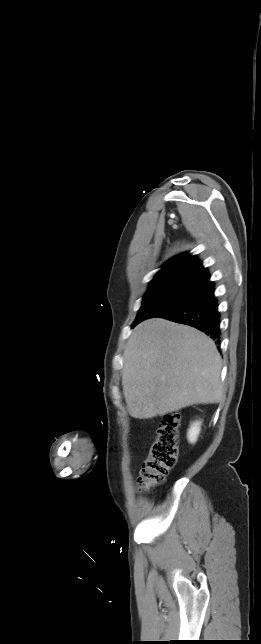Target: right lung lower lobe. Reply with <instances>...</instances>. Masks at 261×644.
Segmentation results:
<instances>
[{"instance_id":"1","label":"right lung lower lobe","mask_w":261,"mask_h":644,"mask_svg":"<svg viewBox=\"0 0 261 644\" xmlns=\"http://www.w3.org/2000/svg\"><path fill=\"white\" fill-rule=\"evenodd\" d=\"M160 317L197 328L214 339L215 343H220V316L214 283L209 280L189 300Z\"/></svg>"}]
</instances>
